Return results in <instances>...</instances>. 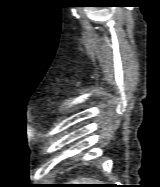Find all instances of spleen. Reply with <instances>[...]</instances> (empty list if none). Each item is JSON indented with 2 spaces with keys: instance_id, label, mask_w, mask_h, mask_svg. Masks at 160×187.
<instances>
[{
  "instance_id": "obj_1",
  "label": "spleen",
  "mask_w": 160,
  "mask_h": 187,
  "mask_svg": "<svg viewBox=\"0 0 160 187\" xmlns=\"http://www.w3.org/2000/svg\"><path fill=\"white\" fill-rule=\"evenodd\" d=\"M94 182H98V181L97 180H90V179H81V180L72 181V183H74V184H91Z\"/></svg>"
}]
</instances>
